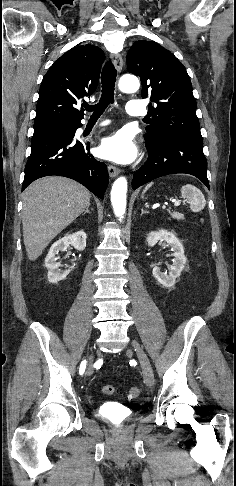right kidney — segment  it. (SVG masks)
<instances>
[{
    "mask_svg": "<svg viewBox=\"0 0 236 486\" xmlns=\"http://www.w3.org/2000/svg\"><path fill=\"white\" fill-rule=\"evenodd\" d=\"M86 238V233L81 230L72 235H65L51 246L45 259V267L48 270L47 276L50 283H58L65 279L71 271L70 269L66 271L59 269L60 263L56 262L57 254L60 251H66L69 245H72L78 251H83L86 248Z\"/></svg>",
    "mask_w": 236,
    "mask_h": 486,
    "instance_id": "1",
    "label": "right kidney"
}]
</instances>
